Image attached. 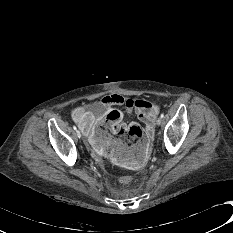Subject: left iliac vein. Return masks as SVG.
<instances>
[{"label":"left iliac vein","mask_w":233,"mask_h":233,"mask_svg":"<svg viewBox=\"0 0 233 233\" xmlns=\"http://www.w3.org/2000/svg\"><path fill=\"white\" fill-rule=\"evenodd\" d=\"M156 124L159 126L162 124V118L159 117L157 120H156Z\"/></svg>","instance_id":"4c4485c4"}]
</instances>
